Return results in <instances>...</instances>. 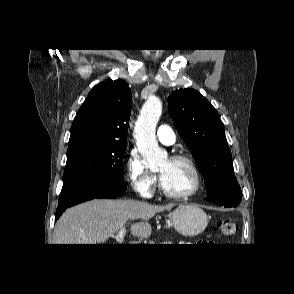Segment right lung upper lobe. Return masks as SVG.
I'll use <instances>...</instances> for the list:
<instances>
[{
	"mask_svg": "<svg viewBox=\"0 0 294 294\" xmlns=\"http://www.w3.org/2000/svg\"><path fill=\"white\" fill-rule=\"evenodd\" d=\"M131 90L123 80H106L94 87L71 126L69 144H126L131 114Z\"/></svg>",
	"mask_w": 294,
	"mask_h": 294,
	"instance_id": "obj_1",
	"label": "right lung upper lobe"
}]
</instances>
